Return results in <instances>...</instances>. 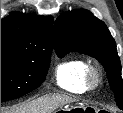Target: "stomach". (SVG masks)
Returning a JSON list of instances; mask_svg holds the SVG:
<instances>
[{
  "label": "stomach",
  "instance_id": "1",
  "mask_svg": "<svg viewBox=\"0 0 123 113\" xmlns=\"http://www.w3.org/2000/svg\"><path fill=\"white\" fill-rule=\"evenodd\" d=\"M87 109L94 110L93 108L86 107L83 103H76V104L70 105L69 107L60 108L58 112L59 113H84L86 112Z\"/></svg>",
  "mask_w": 123,
  "mask_h": 113
}]
</instances>
